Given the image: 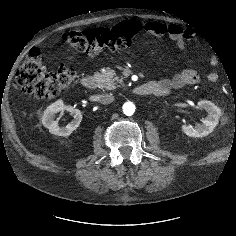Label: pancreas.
Segmentation results:
<instances>
[{
  "instance_id": "obj_1",
  "label": "pancreas",
  "mask_w": 236,
  "mask_h": 236,
  "mask_svg": "<svg viewBox=\"0 0 236 236\" xmlns=\"http://www.w3.org/2000/svg\"><path fill=\"white\" fill-rule=\"evenodd\" d=\"M95 78L101 89L112 90L122 86V80L119 79L115 71L109 67L102 70L101 73H96Z\"/></svg>"
}]
</instances>
